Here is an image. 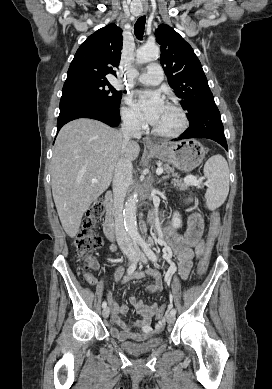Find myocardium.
<instances>
[{
    "label": "myocardium",
    "instance_id": "obj_1",
    "mask_svg": "<svg viewBox=\"0 0 272 389\" xmlns=\"http://www.w3.org/2000/svg\"><path fill=\"white\" fill-rule=\"evenodd\" d=\"M166 105L170 106L178 113L180 118L179 125L174 130L171 131H162L152 126V132L153 134L159 137L174 138L181 135L187 129L189 121H188L186 111L179 103L175 101H167Z\"/></svg>",
    "mask_w": 272,
    "mask_h": 389
}]
</instances>
